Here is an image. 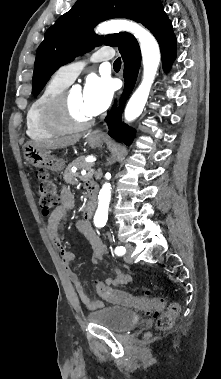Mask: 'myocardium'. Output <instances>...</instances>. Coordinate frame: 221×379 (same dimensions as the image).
Returning a JSON list of instances; mask_svg holds the SVG:
<instances>
[{"mask_svg": "<svg viewBox=\"0 0 221 379\" xmlns=\"http://www.w3.org/2000/svg\"><path fill=\"white\" fill-rule=\"evenodd\" d=\"M71 90L65 89L57 95L46 107L44 121L46 125L57 132H73L88 128L93 123V117L85 121H77L73 118L69 94Z\"/></svg>", "mask_w": 221, "mask_h": 379, "instance_id": "obj_1", "label": "myocardium"}]
</instances>
